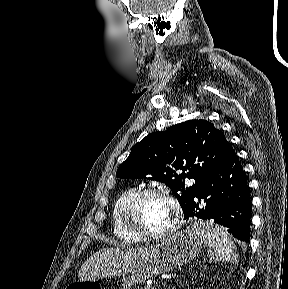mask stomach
<instances>
[{
  "mask_svg": "<svg viewBox=\"0 0 288 289\" xmlns=\"http://www.w3.org/2000/svg\"><path fill=\"white\" fill-rule=\"evenodd\" d=\"M201 248L202 241L190 226L149 247L148 253L136 262L94 279L73 282L66 289H131L153 276L181 267Z\"/></svg>",
  "mask_w": 288,
  "mask_h": 289,
  "instance_id": "0dacf381",
  "label": "stomach"
}]
</instances>
